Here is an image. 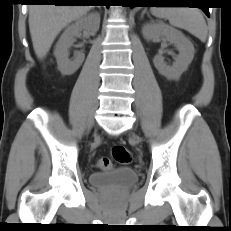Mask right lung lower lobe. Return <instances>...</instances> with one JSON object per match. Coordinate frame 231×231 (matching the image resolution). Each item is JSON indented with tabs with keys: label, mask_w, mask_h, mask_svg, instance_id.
<instances>
[{
	"label": "right lung lower lobe",
	"mask_w": 231,
	"mask_h": 231,
	"mask_svg": "<svg viewBox=\"0 0 231 231\" xmlns=\"http://www.w3.org/2000/svg\"><path fill=\"white\" fill-rule=\"evenodd\" d=\"M26 1L29 3H52L55 5H75L76 2H71V1H81V0H26Z\"/></svg>",
	"instance_id": "1"
}]
</instances>
